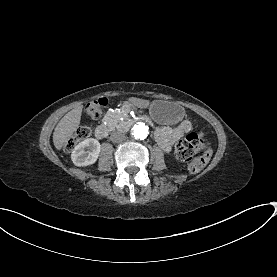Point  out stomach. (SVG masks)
<instances>
[{"instance_id": "1", "label": "stomach", "mask_w": 277, "mask_h": 277, "mask_svg": "<svg viewBox=\"0 0 277 277\" xmlns=\"http://www.w3.org/2000/svg\"><path fill=\"white\" fill-rule=\"evenodd\" d=\"M132 103L138 107H149L152 118L160 124L173 125L183 119L184 108L177 103L163 100L152 102L140 99H132Z\"/></svg>"}]
</instances>
